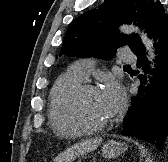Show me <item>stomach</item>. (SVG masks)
Wrapping results in <instances>:
<instances>
[{"label": "stomach", "mask_w": 168, "mask_h": 162, "mask_svg": "<svg viewBox=\"0 0 168 162\" xmlns=\"http://www.w3.org/2000/svg\"><path fill=\"white\" fill-rule=\"evenodd\" d=\"M126 149L127 147L124 145V143L117 142L115 140H110L103 145L102 155L105 158L113 159L123 154L126 151Z\"/></svg>", "instance_id": "0dacf381"}]
</instances>
